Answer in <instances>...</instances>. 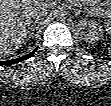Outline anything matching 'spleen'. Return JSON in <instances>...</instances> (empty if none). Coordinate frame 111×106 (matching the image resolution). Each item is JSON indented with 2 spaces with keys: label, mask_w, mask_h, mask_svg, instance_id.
<instances>
[{
  "label": "spleen",
  "mask_w": 111,
  "mask_h": 106,
  "mask_svg": "<svg viewBox=\"0 0 111 106\" xmlns=\"http://www.w3.org/2000/svg\"><path fill=\"white\" fill-rule=\"evenodd\" d=\"M105 31L111 36V20L106 22ZM109 51H111V43H110Z\"/></svg>",
  "instance_id": "3e777b00"
}]
</instances>
